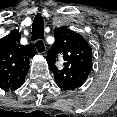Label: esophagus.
Instances as JSON below:
<instances>
[{"mask_svg":"<svg viewBox=\"0 0 117 117\" xmlns=\"http://www.w3.org/2000/svg\"><path fill=\"white\" fill-rule=\"evenodd\" d=\"M38 43V44H37ZM37 44V45H36ZM37 46H38V48H37ZM35 48H36V50H37V52L39 53V54H45L46 53V51H47V49H46V45H45V43H44V41H42V40H37L36 42H35Z\"/></svg>","mask_w":117,"mask_h":117,"instance_id":"obj_1","label":"esophagus"}]
</instances>
